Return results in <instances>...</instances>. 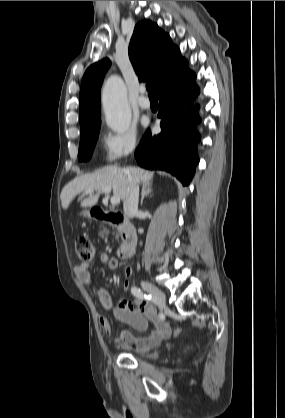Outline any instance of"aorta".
<instances>
[{
	"label": "aorta",
	"mask_w": 285,
	"mask_h": 418,
	"mask_svg": "<svg viewBox=\"0 0 285 418\" xmlns=\"http://www.w3.org/2000/svg\"><path fill=\"white\" fill-rule=\"evenodd\" d=\"M102 103L107 126L116 133L126 132L131 123V111L126 86L119 76L113 75L105 82Z\"/></svg>",
	"instance_id": "762f6f07"
}]
</instances>
